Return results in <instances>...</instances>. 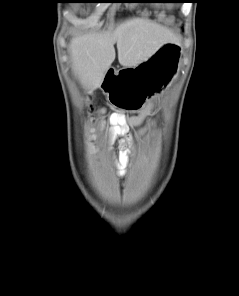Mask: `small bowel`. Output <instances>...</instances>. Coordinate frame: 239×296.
<instances>
[{
	"instance_id": "small-bowel-1",
	"label": "small bowel",
	"mask_w": 239,
	"mask_h": 296,
	"mask_svg": "<svg viewBox=\"0 0 239 296\" xmlns=\"http://www.w3.org/2000/svg\"><path fill=\"white\" fill-rule=\"evenodd\" d=\"M152 109H153V104L150 103L138 115L132 116L130 118H127L121 112H117L110 116V121L112 123L119 125L122 131H126L127 124H130L132 126H140L147 119ZM118 141H119L121 152H120L119 158L116 160V167L118 170V174L120 176H124L126 173L127 165L129 163V157L131 153L130 145L132 143V138L131 137L125 138L120 136Z\"/></svg>"
}]
</instances>
